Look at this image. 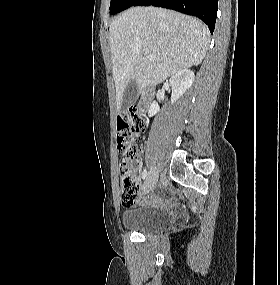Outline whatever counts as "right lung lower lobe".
Returning a JSON list of instances; mask_svg holds the SVG:
<instances>
[{"mask_svg": "<svg viewBox=\"0 0 280 285\" xmlns=\"http://www.w3.org/2000/svg\"><path fill=\"white\" fill-rule=\"evenodd\" d=\"M158 6L200 18L211 33L215 28L218 0H137L133 6Z\"/></svg>", "mask_w": 280, "mask_h": 285, "instance_id": "1", "label": "right lung lower lobe"}]
</instances>
